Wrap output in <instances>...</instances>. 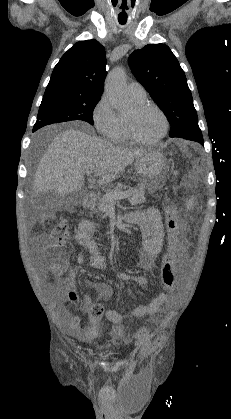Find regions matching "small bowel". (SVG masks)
<instances>
[{
  "instance_id": "small-bowel-1",
  "label": "small bowel",
  "mask_w": 231,
  "mask_h": 419,
  "mask_svg": "<svg viewBox=\"0 0 231 419\" xmlns=\"http://www.w3.org/2000/svg\"><path fill=\"white\" fill-rule=\"evenodd\" d=\"M133 223H137L141 230L142 247L145 252L144 265L146 268H152L156 255L161 251L164 244V227L159 211L155 208H149L144 211L135 212L130 215ZM96 227L94 222L89 219H83L78 227L75 240L82 246L84 253L80 252L77 255V263L83 264L85 260L87 263L96 269L107 270L114 274V276L121 281H131L138 284H146L147 280L142 275L128 274L121 271H116L111 268L108 260L102 255L100 244L95 239ZM178 250V257L176 261L183 260L187 257L188 243L182 240L176 247ZM52 270L57 273L56 267L52 265ZM43 277L48 280V274L44 273ZM99 295L104 299H109L113 296V290L108 285H101L98 288ZM63 295L73 302H77V295L72 285V280L69 278V284L66 289L57 287L54 289V303L59 304ZM166 293H159L155 295L147 304H142L135 308L130 317L142 318L152 316L161 311L164 304V297ZM94 302L89 296L83 299L84 310L89 315L90 323L87 328H81V320L78 316L67 312L66 319L62 322V326L72 336L79 340L91 342L99 335L98 320L90 314V309ZM106 317L114 324L122 323L126 316L117 312L116 310H107Z\"/></svg>"
}]
</instances>
